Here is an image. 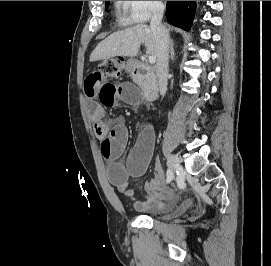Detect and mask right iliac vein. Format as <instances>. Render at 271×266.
Returning a JSON list of instances; mask_svg holds the SVG:
<instances>
[{"label": "right iliac vein", "instance_id": "63e3f726", "mask_svg": "<svg viewBox=\"0 0 271 266\" xmlns=\"http://www.w3.org/2000/svg\"><path fill=\"white\" fill-rule=\"evenodd\" d=\"M167 163H168L169 168L173 171L181 169L180 160L174 154L169 155Z\"/></svg>", "mask_w": 271, "mask_h": 266}]
</instances>
